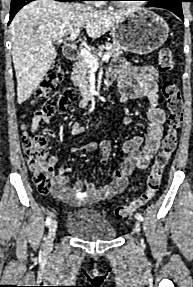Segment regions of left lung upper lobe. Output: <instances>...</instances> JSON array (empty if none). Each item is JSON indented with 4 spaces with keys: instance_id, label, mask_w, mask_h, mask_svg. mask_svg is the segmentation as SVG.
Wrapping results in <instances>:
<instances>
[{
    "instance_id": "obj_1",
    "label": "left lung upper lobe",
    "mask_w": 193,
    "mask_h": 287,
    "mask_svg": "<svg viewBox=\"0 0 193 287\" xmlns=\"http://www.w3.org/2000/svg\"><path fill=\"white\" fill-rule=\"evenodd\" d=\"M146 1H148V4H150V3L158 2V1H160V0H146Z\"/></svg>"
}]
</instances>
